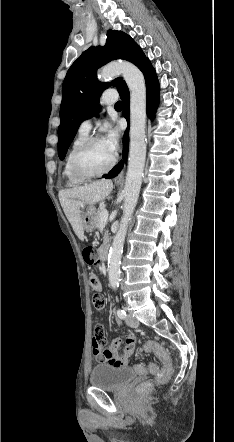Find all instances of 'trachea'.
<instances>
[{
  "instance_id": "trachea-1",
  "label": "trachea",
  "mask_w": 234,
  "mask_h": 442,
  "mask_svg": "<svg viewBox=\"0 0 234 442\" xmlns=\"http://www.w3.org/2000/svg\"><path fill=\"white\" fill-rule=\"evenodd\" d=\"M123 106V103L121 102V101H118L116 104H115V107H122Z\"/></svg>"
}]
</instances>
